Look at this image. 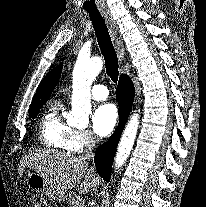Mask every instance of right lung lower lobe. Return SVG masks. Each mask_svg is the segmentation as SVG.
I'll return each instance as SVG.
<instances>
[{"instance_id": "obj_1", "label": "right lung lower lobe", "mask_w": 206, "mask_h": 207, "mask_svg": "<svg viewBox=\"0 0 206 207\" xmlns=\"http://www.w3.org/2000/svg\"><path fill=\"white\" fill-rule=\"evenodd\" d=\"M134 96L135 90L131 78L126 74H122L116 88V97L119 104V125L115 133L106 143L102 144L97 149L95 154V165L97 172L107 182L110 179L112 164L118 142L132 109Z\"/></svg>"}]
</instances>
